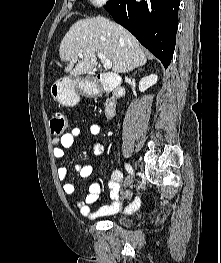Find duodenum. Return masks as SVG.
<instances>
[{
	"label": "duodenum",
	"instance_id": "410a0bca",
	"mask_svg": "<svg viewBox=\"0 0 221 263\" xmlns=\"http://www.w3.org/2000/svg\"><path fill=\"white\" fill-rule=\"evenodd\" d=\"M95 79L104 90L111 92V96L104 105V115L109 118L114 115L117 101L124 96V90L120 86L119 78L114 73H98Z\"/></svg>",
	"mask_w": 221,
	"mask_h": 263
}]
</instances>
